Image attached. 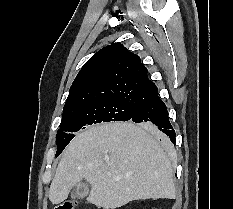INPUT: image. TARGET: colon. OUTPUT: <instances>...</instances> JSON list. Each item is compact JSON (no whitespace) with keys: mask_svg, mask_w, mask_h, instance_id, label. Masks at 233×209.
<instances>
[{"mask_svg":"<svg viewBox=\"0 0 233 209\" xmlns=\"http://www.w3.org/2000/svg\"><path fill=\"white\" fill-rule=\"evenodd\" d=\"M76 203L73 201H64L56 204L53 209H74Z\"/></svg>","mask_w":233,"mask_h":209,"instance_id":"colon-1","label":"colon"}]
</instances>
